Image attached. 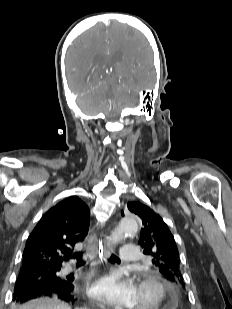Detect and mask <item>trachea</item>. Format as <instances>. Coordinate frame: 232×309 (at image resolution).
Here are the masks:
<instances>
[{
  "label": "trachea",
  "mask_w": 232,
  "mask_h": 309,
  "mask_svg": "<svg viewBox=\"0 0 232 309\" xmlns=\"http://www.w3.org/2000/svg\"><path fill=\"white\" fill-rule=\"evenodd\" d=\"M82 256H83V253H81V252L73 254V258L77 260L78 264L85 263ZM109 260L110 261H120V259L116 255H113V254L110 256Z\"/></svg>",
  "instance_id": "trachea-1"
}]
</instances>
